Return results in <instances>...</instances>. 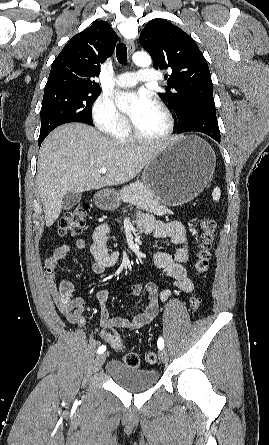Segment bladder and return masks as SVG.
I'll return each instance as SVG.
<instances>
[{
  "label": "bladder",
  "instance_id": "bladder-1",
  "mask_svg": "<svg viewBox=\"0 0 269 445\" xmlns=\"http://www.w3.org/2000/svg\"><path fill=\"white\" fill-rule=\"evenodd\" d=\"M106 371L116 384L130 391L149 389L159 380V373L155 369H137L118 360L110 361Z\"/></svg>",
  "mask_w": 269,
  "mask_h": 445
}]
</instances>
